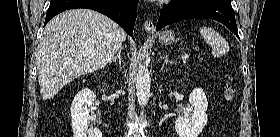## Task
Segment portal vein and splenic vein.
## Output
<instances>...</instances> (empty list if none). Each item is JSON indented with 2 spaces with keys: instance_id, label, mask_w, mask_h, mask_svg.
Wrapping results in <instances>:
<instances>
[{
  "instance_id": "obj_1",
  "label": "portal vein and splenic vein",
  "mask_w": 280,
  "mask_h": 137,
  "mask_svg": "<svg viewBox=\"0 0 280 137\" xmlns=\"http://www.w3.org/2000/svg\"><path fill=\"white\" fill-rule=\"evenodd\" d=\"M190 57V54H185L184 56H182V59H188Z\"/></svg>"
}]
</instances>
